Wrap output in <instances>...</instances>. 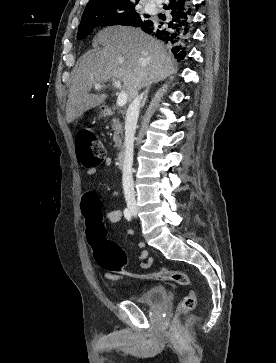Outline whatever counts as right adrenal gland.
I'll list each match as a JSON object with an SVG mask.
<instances>
[{"label":"right adrenal gland","mask_w":276,"mask_h":363,"mask_svg":"<svg viewBox=\"0 0 276 363\" xmlns=\"http://www.w3.org/2000/svg\"><path fill=\"white\" fill-rule=\"evenodd\" d=\"M148 92H149V89H146L144 91V93L142 94L143 95V98H142V103H141V108L144 107L146 101H147V98H148Z\"/></svg>","instance_id":"obj_1"}]
</instances>
